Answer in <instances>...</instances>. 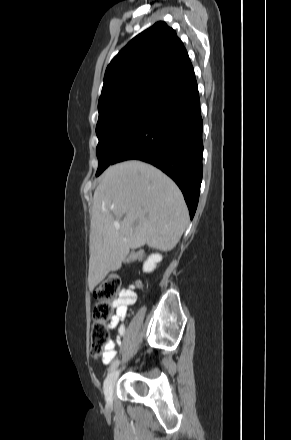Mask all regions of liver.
Masks as SVG:
<instances>
[{"instance_id":"obj_1","label":"liver","mask_w":291,"mask_h":440,"mask_svg":"<svg viewBox=\"0 0 291 440\" xmlns=\"http://www.w3.org/2000/svg\"><path fill=\"white\" fill-rule=\"evenodd\" d=\"M188 221L181 191L162 171L137 160L110 166L93 197L90 290L121 268L130 249L148 244L164 252L172 250Z\"/></svg>"}]
</instances>
